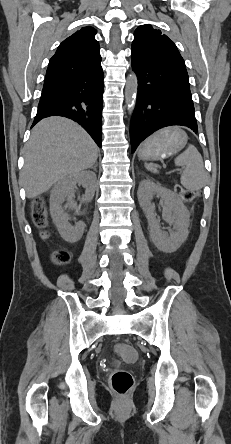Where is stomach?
Masks as SVG:
<instances>
[{"instance_id": "1", "label": "stomach", "mask_w": 231, "mask_h": 444, "mask_svg": "<svg viewBox=\"0 0 231 444\" xmlns=\"http://www.w3.org/2000/svg\"><path fill=\"white\" fill-rule=\"evenodd\" d=\"M187 139L186 133L179 128L163 129L142 144L138 156L145 160H161L183 149Z\"/></svg>"}]
</instances>
